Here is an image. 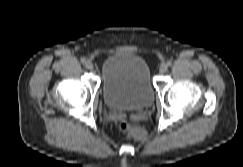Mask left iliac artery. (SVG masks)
<instances>
[{"label":"left iliac artery","instance_id":"left-iliac-artery-1","mask_svg":"<svg viewBox=\"0 0 243 167\" xmlns=\"http://www.w3.org/2000/svg\"><path fill=\"white\" fill-rule=\"evenodd\" d=\"M172 65V62L171 61H168L167 62V66H171Z\"/></svg>","mask_w":243,"mask_h":167}]
</instances>
